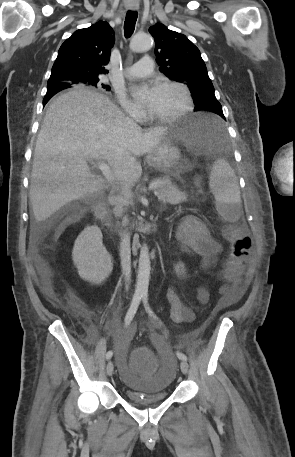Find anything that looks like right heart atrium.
Segmentation results:
<instances>
[{
	"label": "right heart atrium",
	"mask_w": 295,
	"mask_h": 457,
	"mask_svg": "<svg viewBox=\"0 0 295 457\" xmlns=\"http://www.w3.org/2000/svg\"><path fill=\"white\" fill-rule=\"evenodd\" d=\"M116 96L118 99L119 104L123 108V110L133 119L135 120H142L144 118V110L138 104L132 102L125 92L118 90L116 91Z\"/></svg>",
	"instance_id": "obj_1"
}]
</instances>
